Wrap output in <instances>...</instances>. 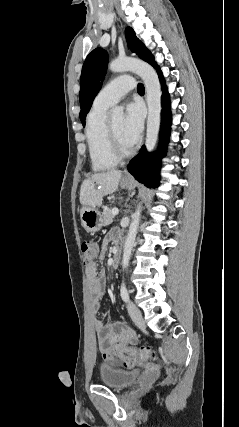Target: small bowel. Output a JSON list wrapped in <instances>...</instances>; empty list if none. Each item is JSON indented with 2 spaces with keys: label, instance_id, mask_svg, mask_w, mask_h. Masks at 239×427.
<instances>
[{
  "label": "small bowel",
  "instance_id": "c3829d8e",
  "mask_svg": "<svg viewBox=\"0 0 239 427\" xmlns=\"http://www.w3.org/2000/svg\"><path fill=\"white\" fill-rule=\"evenodd\" d=\"M120 237L117 231L111 232L103 242V249L108 243H119ZM86 276L88 291L90 295L89 309L95 317L94 327L97 336V342L106 363L115 362L114 347L117 345H131L136 343V334L123 322L105 323L96 318L100 309V301L103 295L105 276L98 271L95 263H89L86 266Z\"/></svg>",
  "mask_w": 239,
  "mask_h": 427
}]
</instances>
